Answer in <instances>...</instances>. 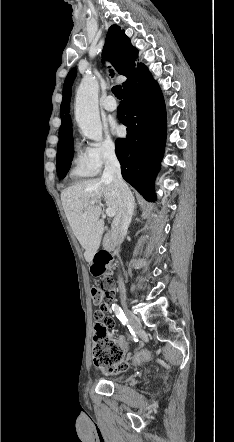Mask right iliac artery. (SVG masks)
<instances>
[{
    "instance_id": "82829eb1",
    "label": "right iliac artery",
    "mask_w": 234,
    "mask_h": 442,
    "mask_svg": "<svg viewBox=\"0 0 234 442\" xmlns=\"http://www.w3.org/2000/svg\"><path fill=\"white\" fill-rule=\"evenodd\" d=\"M112 310L116 314L117 318L122 322V324L129 326L127 317L117 304L112 305Z\"/></svg>"
}]
</instances>
